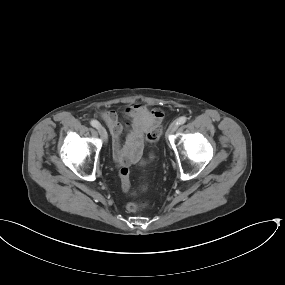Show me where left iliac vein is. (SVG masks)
I'll return each instance as SVG.
<instances>
[{"instance_id":"obj_1","label":"left iliac vein","mask_w":285,"mask_h":285,"mask_svg":"<svg viewBox=\"0 0 285 285\" xmlns=\"http://www.w3.org/2000/svg\"><path fill=\"white\" fill-rule=\"evenodd\" d=\"M178 128L177 122H172L167 130V136L173 134Z\"/></svg>"}]
</instances>
